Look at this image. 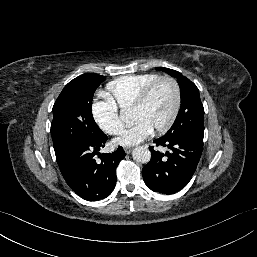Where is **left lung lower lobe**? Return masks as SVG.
Masks as SVG:
<instances>
[{
	"mask_svg": "<svg viewBox=\"0 0 257 257\" xmlns=\"http://www.w3.org/2000/svg\"><path fill=\"white\" fill-rule=\"evenodd\" d=\"M156 146L171 149L164 155L151 150V160L143 167L145 184L154 192L172 194L185 187L191 180L200 160L203 137L188 135L177 138L160 137Z\"/></svg>",
	"mask_w": 257,
	"mask_h": 257,
	"instance_id": "obj_1",
	"label": "left lung lower lobe"
}]
</instances>
